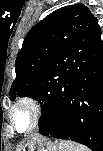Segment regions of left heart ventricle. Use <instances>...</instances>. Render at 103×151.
I'll list each match as a JSON object with an SVG mask.
<instances>
[{
    "label": "left heart ventricle",
    "instance_id": "b2bd125f",
    "mask_svg": "<svg viewBox=\"0 0 103 151\" xmlns=\"http://www.w3.org/2000/svg\"><path fill=\"white\" fill-rule=\"evenodd\" d=\"M13 120L18 130H26L32 121L30 110L25 107L17 109L13 114Z\"/></svg>",
    "mask_w": 103,
    "mask_h": 151
}]
</instances>
